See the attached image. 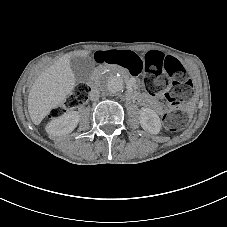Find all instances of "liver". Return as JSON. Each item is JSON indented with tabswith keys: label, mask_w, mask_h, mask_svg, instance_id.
I'll return each instance as SVG.
<instances>
[{
	"label": "liver",
	"mask_w": 227,
	"mask_h": 227,
	"mask_svg": "<svg viewBox=\"0 0 227 227\" xmlns=\"http://www.w3.org/2000/svg\"><path fill=\"white\" fill-rule=\"evenodd\" d=\"M73 54L87 55L85 52H72L62 56L42 72L32 85L28 111L35 125H39L52 109L64 103L73 90L76 82L70 66V57Z\"/></svg>",
	"instance_id": "obj_1"
}]
</instances>
